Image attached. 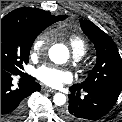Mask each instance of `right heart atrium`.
<instances>
[{
    "label": "right heart atrium",
    "instance_id": "d8ad5b80",
    "mask_svg": "<svg viewBox=\"0 0 122 122\" xmlns=\"http://www.w3.org/2000/svg\"><path fill=\"white\" fill-rule=\"evenodd\" d=\"M50 43V36L47 33L39 35L33 43V53L39 55L44 52Z\"/></svg>",
    "mask_w": 122,
    "mask_h": 122
}]
</instances>
